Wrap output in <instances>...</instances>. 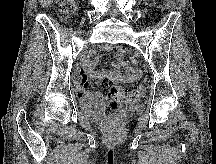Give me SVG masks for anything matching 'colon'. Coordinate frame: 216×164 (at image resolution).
Listing matches in <instances>:
<instances>
[{
	"instance_id": "5ec220e1",
	"label": "colon",
	"mask_w": 216,
	"mask_h": 164,
	"mask_svg": "<svg viewBox=\"0 0 216 164\" xmlns=\"http://www.w3.org/2000/svg\"><path fill=\"white\" fill-rule=\"evenodd\" d=\"M74 8V0H64L59 5V11L64 17H67ZM101 86L108 90L110 97L114 101L118 102L134 103L142 96V91L140 89H128L121 85H113L108 79H103L101 81Z\"/></svg>"
}]
</instances>
